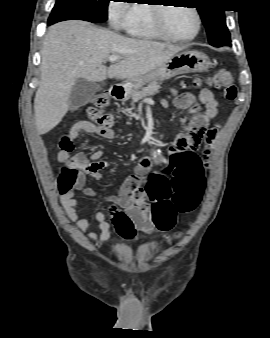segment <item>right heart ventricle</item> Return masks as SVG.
Segmentation results:
<instances>
[{
    "mask_svg": "<svg viewBox=\"0 0 270 338\" xmlns=\"http://www.w3.org/2000/svg\"><path fill=\"white\" fill-rule=\"evenodd\" d=\"M123 29L131 36L147 40H162V37L153 26L152 6L133 5L131 17Z\"/></svg>",
    "mask_w": 270,
    "mask_h": 338,
    "instance_id": "obj_1",
    "label": "right heart ventricle"
}]
</instances>
